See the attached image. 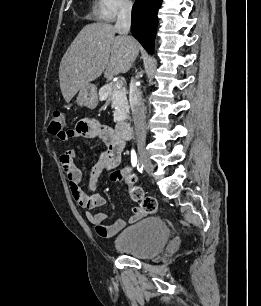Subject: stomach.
Returning <instances> with one entry per match:
<instances>
[{
  "mask_svg": "<svg viewBox=\"0 0 261 306\" xmlns=\"http://www.w3.org/2000/svg\"><path fill=\"white\" fill-rule=\"evenodd\" d=\"M76 103L79 106H86L90 109L96 108L98 105L96 86L91 83L84 85L78 92Z\"/></svg>",
  "mask_w": 261,
  "mask_h": 306,
  "instance_id": "0dacf381",
  "label": "stomach"
}]
</instances>
